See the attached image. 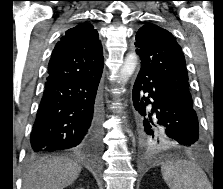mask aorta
<instances>
[{
	"mask_svg": "<svg viewBox=\"0 0 223 189\" xmlns=\"http://www.w3.org/2000/svg\"><path fill=\"white\" fill-rule=\"evenodd\" d=\"M137 65V55L131 53L125 58V62L120 71V81L119 83L124 84L127 82L128 78L134 73Z\"/></svg>",
	"mask_w": 223,
	"mask_h": 189,
	"instance_id": "aorta-1",
	"label": "aorta"
}]
</instances>
